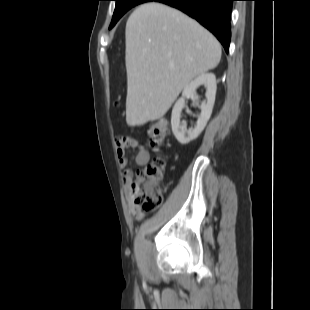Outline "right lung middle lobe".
Returning a JSON list of instances; mask_svg holds the SVG:
<instances>
[{
	"mask_svg": "<svg viewBox=\"0 0 310 310\" xmlns=\"http://www.w3.org/2000/svg\"><path fill=\"white\" fill-rule=\"evenodd\" d=\"M116 7L112 17V22L109 28H112L117 21L132 7L150 1V0H115Z\"/></svg>",
	"mask_w": 310,
	"mask_h": 310,
	"instance_id": "dd1d6c3e",
	"label": "right lung middle lobe"
}]
</instances>
